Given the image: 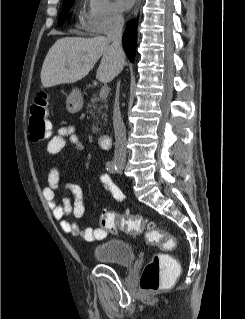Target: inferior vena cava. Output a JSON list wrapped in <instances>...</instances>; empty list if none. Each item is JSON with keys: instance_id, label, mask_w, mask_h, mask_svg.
I'll return each instance as SVG.
<instances>
[{"instance_id": "obj_1", "label": "inferior vena cava", "mask_w": 245, "mask_h": 319, "mask_svg": "<svg viewBox=\"0 0 245 319\" xmlns=\"http://www.w3.org/2000/svg\"><path fill=\"white\" fill-rule=\"evenodd\" d=\"M124 19L121 13L114 12L110 18V26L107 33V39L111 42L110 48L114 52L118 60L124 58L122 49V31ZM119 86L117 83L116 99L113 109V126L115 133V153L114 159L116 162H124L126 160V130L121 117L119 107Z\"/></svg>"}]
</instances>
